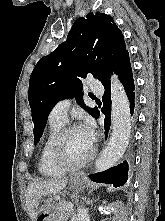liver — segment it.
<instances>
[{"mask_svg":"<svg viewBox=\"0 0 165 221\" xmlns=\"http://www.w3.org/2000/svg\"><path fill=\"white\" fill-rule=\"evenodd\" d=\"M67 181L68 179L64 178L59 180H40L29 184L26 190V204L32 221L37 215L41 198L60 192L65 188Z\"/></svg>","mask_w":165,"mask_h":221,"instance_id":"liver-1","label":"liver"}]
</instances>
